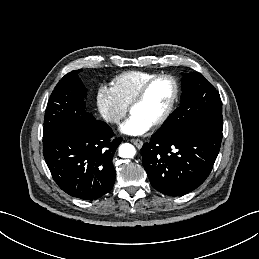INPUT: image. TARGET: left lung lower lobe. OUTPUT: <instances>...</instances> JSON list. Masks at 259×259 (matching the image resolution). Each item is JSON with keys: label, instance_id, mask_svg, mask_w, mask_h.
<instances>
[{"label": "left lung lower lobe", "instance_id": "1", "mask_svg": "<svg viewBox=\"0 0 259 259\" xmlns=\"http://www.w3.org/2000/svg\"><path fill=\"white\" fill-rule=\"evenodd\" d=\"M222 130L223 123L205 119L177 134H153L141 149L152 187L169 196H181L199 187L217 158Z\"/></svg>", "mask_w": 259, "mask_h": 259}]
</instances>
